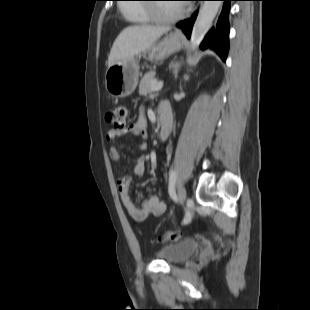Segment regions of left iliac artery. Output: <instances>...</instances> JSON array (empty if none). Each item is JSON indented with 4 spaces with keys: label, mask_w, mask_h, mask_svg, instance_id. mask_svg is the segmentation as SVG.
<instances>
[{
    "label": "left iliac artery",
    "mask_w": 310,
    "mask_h": 310,
    "mask_svg": "<svg viewBox=\"0 0 310 310\" xmlns=\"http://www.w3.org/2000/svg\"><path fill=\"white\" fill-rule=\"evenodd\" d=\"M177 179V172L172 169L169 173V186H168V192L173 201L178 203V197L175 192V184ZM192 220V214L188 209H185L184 218L182 220V224L186 225L189 224Z\"/></svg>",
    "instance_id": "obj_1"
}]
</instances>
